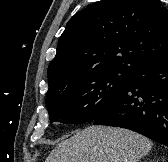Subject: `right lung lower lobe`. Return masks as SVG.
Returning a JSON list of instances; mask_svg holds the SVG:
<instances>
[{"label": "right lung lower lobe", "mask_w": 168, "mask_h": 162, "mask_svg": "<svg viewBox=\"0 0 168 162\" xmlns=\"http://www.w3.org/2000/svg\"><path fill=\"white\" fill-rule=\"evenodd\" d=\"M93 122L127 128L168 146V57L133 72Z\"/></svg>", "instance_id": "obj_1"}]
</instances>
